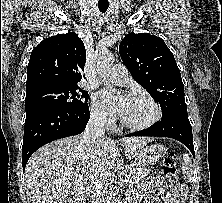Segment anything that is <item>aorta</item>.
<instances>
[{
	"instance_id": "762f6f07",
	"label": "aorta",
	"mask_w": 222,
	"mask_h": 203,
	"mask_svg": "<svg viewBox=\"0 0 222 203\" xmlns=\"http://www.w3.org/2000/svg\"><path fill=\"white\" fill-rule=\"evenodd\" d=\"M113 62H114V56L112 53L109 52L100 53L96 65L97 73L101 77L105 78V76L111 69Z\"/></svg>"
}]
</instances>
